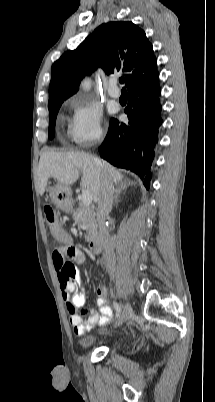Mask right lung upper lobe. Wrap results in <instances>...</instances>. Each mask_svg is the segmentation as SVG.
<instances>
[{
    "instance_id": "right-lung-upper-lobe-1",
    "label": "right lung upper lobe",
    "mask_w": 215,
    "mask_h": 402,
    "mask_svg": "<svg viewBox=\"0 0 215 402\" xmlns=\"http://www.w3.org/2000/svg\"><path fill=\"white\" fill-rule=\"evenodd\" d=\"M156 66L152 44L142 29L129 21L104 23L52 65L49 103L76 93L82 78L98 67L107 75L123 72L129 90L159 75Z\"/></svg>"
}]
</instances>
